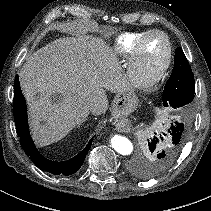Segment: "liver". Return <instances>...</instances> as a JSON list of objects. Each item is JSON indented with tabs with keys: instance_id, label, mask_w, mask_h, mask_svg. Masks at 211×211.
Instances as JSON below:
<instances>
[{
	"instance_id": "6515ba94",
	"label": "liver",
	"mask_w": 211,
	"mask_h": 211,
	"mask_svg": "<svg viewBox=\"0 0 211 211\" xmlns=\"http://www.w3.org/2000/svg\"><path fill=\"white\" fill-rule=\"evenodd\" d=\"M19 78L32 137L41 147L64 138L90 112L105 113V89L118 94L132 90L116 54L101 39L86 35L59 38L40 48L28 57ZM53 95L58 102H52Z\"/></svg>"
}]
</instances>
